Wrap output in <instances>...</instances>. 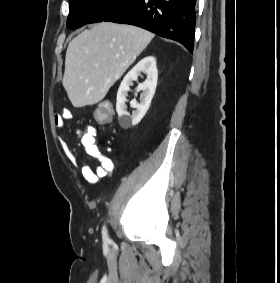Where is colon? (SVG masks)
Returning a JSON list of instances; mask_svg holds the SVG:
<instances>
[{
	"mask_svg": "<svg viewBox=\"0 0 280 283\" xmlns=\"http://www.w3.org/2000/svg\"><path fill=\"white\" fill-rule=\"evenodd\" d=\"M94 119L97 120V124H110V120L113 119V108L106 102L100 104ZM84 132H97V127H84Z\"/></svg>",
	"mask_w": 280,
	"mask_h": 283,
	"instance_id": "colon-1",
	"label": "colon"
}]
</instances>
